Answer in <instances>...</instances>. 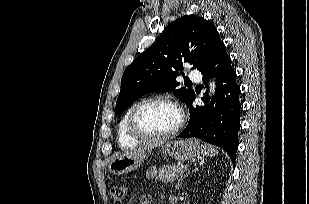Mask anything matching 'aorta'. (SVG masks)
I'll list each match as a JSON object with an SVG mask.
<instances>
[{
    "label": "aorta",
    "instance_id": "1",
    "mask_svg": "<svg viewBox=\"0 0 309 204\" xmlns=\"http://www.w3.org/2000/svg\"><path fill=\"white\" fill-rule=\"evenodd\" d=\"M214 89H215L214 83L212 82V83H210L209 96H212V95H213Z\"/></svg>",
    "mask_w": 309,
    "mask_h": 204
}]
</instances>
